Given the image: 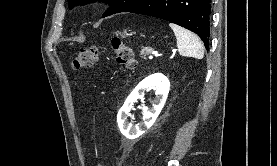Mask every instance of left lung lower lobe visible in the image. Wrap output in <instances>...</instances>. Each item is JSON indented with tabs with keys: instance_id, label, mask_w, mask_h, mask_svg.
Segmentation results:
<instances>
[{
	"instance_id": "1",
	"label": "left lung lower lobe",
	"mask_w": 277,
	"mask_h": 166,
	"mask_svg": "<svg viewBox=\"0 0 277 166\" xmlns=\"http://www.w3.org/2000/svg\"><path fill=\"white\" fill-rule=\"evenodd\" d=\"M122 12L152 16L187 28L209 47L211 0H140Z\"/></svg>"
}]
</instances>
